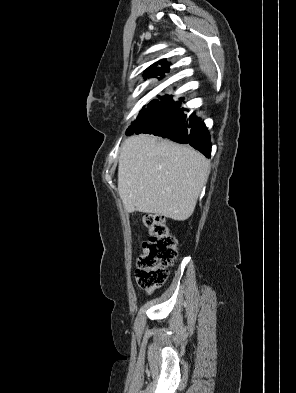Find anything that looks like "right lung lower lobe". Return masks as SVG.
<instances>
[{
    "mask_svg": "<svg viewBox=\"0 0 296 393\" xmlns=\"http://www.w3.org/2000/svg\"><path fill=\"white\" fill-rule=\"evenodd\" d=\"M143 108L137 119L127 129L126 135L148 133L171 139L178 143L190 144L207 158L210 157V134L204 122L195 113L187 116L172 96L160 97Z\"/></svg>",
    "mask_w": 296,
    "mask_h": 393,
    "instance_id": "1",
    "label": "right lung lower lobe"
}]
</instances>
